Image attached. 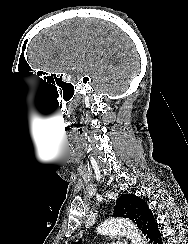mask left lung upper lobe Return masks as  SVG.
<instances>
[{"mask_svg":"<svg viewBox=\"0 0 188 244\" xmlns=\"http://www.w3.org/2000/svg\"><path fill=\"white\" fill-rule=\"evenodd\" d=\"M149 212L151 210L145 200L133 194H125L116 200L113 216L129 218L142 231L145 218ZM75 244H81V240Z\"/></svg>","mask_w":188,"mask_h":244,"instance_id":"obj_1","label":"left lung upper lobe"}]
</instances>
